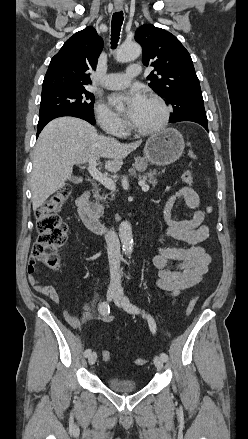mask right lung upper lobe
Segmentation results:
<instances>
[{
	"label": "right lung upper lobe",
	"mask_w": 248,
	"mask_h": 439,
	"mask_svg": "<svg viewBox=\"0 0 248 439\" xmlns=\"http://www.w3.org/2000/svg\"><path fill=\"white\" fill-rule=\"evenodd\" d=\"M103 41L93 27L75 33L51 59L42 85V95L91 84Z\"/></svg>",
	"instance_id": "obj_1"
}]
</instances>
